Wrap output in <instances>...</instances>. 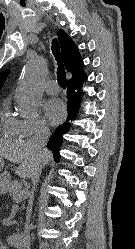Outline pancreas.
I'll return each instance as SVG.
<instances>
[{
  "mask_svg": "<svg viewBox=\"0 0 135 249\" xmlns=\"http://www.w3.org/2000/svg\"><path fill=\"white\" fill-rule=\"evenodd\" d=\"M8 192H9V194L12 196V198H13V200H14L15 202H17V201H16V198H17V196H18L21 192L24 193V197H23V198H26V197L29 195L27 191H22V186H21V184H20L18 181H16V180H14V181H12V182L10 183L9 188H8Z\"/></svg>",
  "mask_w": 135,
  "mask_h": 249,
  "instance_id": "1",
  "label": "pancreas"
}]
</instances>
